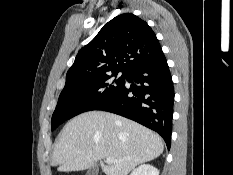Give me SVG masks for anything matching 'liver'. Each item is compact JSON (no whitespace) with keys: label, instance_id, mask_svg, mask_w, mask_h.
I'll return each mask as SVG.
<instances>
[{"label":"liver","instance_id":"liver-1","mask_svg":"<svg viewBox=\"0 0 233 175\" xmlns=\"http://www.w3.org/2000/svg\"><path fill=\"white\" fill-rule=\"evenodd\" d=\"M163 150L162 138L141 124L109 112L90 111L64 126L51 164L58 171L70 172L89 169L100 161L106 175H128ZM105 158L116 162L105 165Z\"/></svg>","mask_w":233,"mask_h":175}]
</instances>
